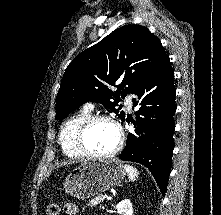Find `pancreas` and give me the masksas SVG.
I'll list each match as a JSON object with an SVG mask.
<instances>
[{"label": "pancreas", "mask_w": 221, "mask_h": 215, "mask_svg": "<svg viewBox=\"0 0 221 215\" xmlns=\"http://www.w3.org/2000/svg\"><path fill=\"white\" fill-rule=\"evenodd\" d=\"M104 199H102V196H97L93 198L91 201H89L88 206L95 207L101 202H103Z\"/></svg>", "instance_id": "cf45deb5"}]
</instances>
